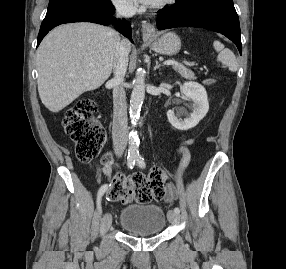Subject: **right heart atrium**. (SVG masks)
Listing matches in <instances>:
<instances>
[{
    "instance_id": "right-heart-atrium-1",
    "label": "right heart atrium",
    "mask_w": 286,
    "mask_h": 269,
    "mask_svg": "<svg viewBox=\"0 0 286 269\" xmlns=\"http://www.w3.org/2000/svg\"><path fill=\"white\" fill-rule=\"evenodd\" d=\"M114 7L125 14H131L135 11V7L131 0H111Z\"/></svg>"
}]
</instances>
